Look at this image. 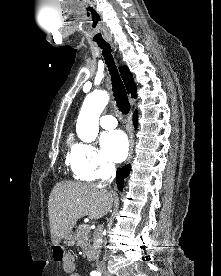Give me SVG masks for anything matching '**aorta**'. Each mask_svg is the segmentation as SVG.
I'll use <instances>...</instances> for the list:
<instances>
[{
    "label": "aorta",
    "mask_w": 221,
    "mask_h": 276,
    "mask_svg": "<svg viewBox=\"0 0 221 276\" xmlns=\"http://www.w3.org/2000/svg\"><path fill=\"white\" fill-rule=\"evenodd\" d=\"M108 101L109 95L105 91L93 92L84 100L76 124L77 135L83 142L90 143L96 139L99 117Z\"/></svg>",
    "instance_id": "aorta-1"
}]
</instances>
